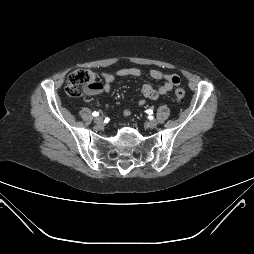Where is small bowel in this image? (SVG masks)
I'll return each mask as SVG.
<instances>
[{"label":"small bowel","instance_id":"obj_1","mask_svg":"<svg viewBox=\"0 0 254 254\" xmlns=\"http://www.w3.org/2000/svg\"><path fill=\"white\" fill-rule=\"evenodd\" d=\"M141 75V70L139 68H121L114 73L104 72L102 73L103 83L95 89L89 90L91 94L108 93L111 90L113 82L117 77H137ZM149 76L155 80H164V83L159 87L155 88L150 84H144L142 86V95L146 99L156 100L160 96L167 94L174 87L180 84V77L177 74H167L159 70L152 69L149 71ZM145 104V99H140L138 101L139 106ZM131 114L130 109L124 110V115L129 116Z\"/></svg>","mask_w":254,"mask_h":254}]
</instances>
